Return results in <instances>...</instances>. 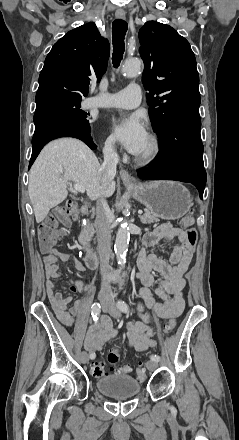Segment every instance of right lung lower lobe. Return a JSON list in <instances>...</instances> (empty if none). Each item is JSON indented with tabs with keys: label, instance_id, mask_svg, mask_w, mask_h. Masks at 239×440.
I'll use <instances>...</instances> for the list:
<instances>
[{
	"label": "right lung lower lobe",
	"instance_id": "1",
	"mask_svg": "<svg viewBox=\"0 0 239 440\" xmlns=\"http://www.w3.org/2000/svg\"><path fill=\"white\" fill-rule=\"evenodd\" d=\"M34 124L33 150L29 167L35 161L41 149L53 139L74 137L85 142L92 150L97 147L90 136L89 123L78 121L61 110L47 108L36 111Z\"/></svg>",
	"mask_w": 239,
	"mask_h": 440
}]
</instances>
